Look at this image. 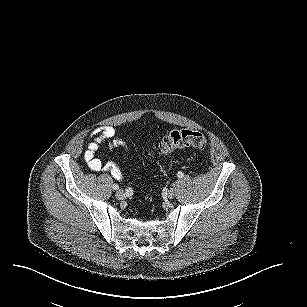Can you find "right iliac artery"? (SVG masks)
<instances>
[{
    "label": "right iliac artery",
    "mask_w": 307,
    "mask_h": 307,
    "mask_svg": "<svg viewBox=\"0 0 307 307\" xmlns=\"http://www.w3.org/2000/svg\"><path fill=\"white\" fill-rule=\"evenodd\" d=\"M112 188H113L114 190H118V189H119V186H118L117 184H113Z\"/></svg>",
    "instance_id": "right-iliac-artery-1"
}]
</instances>
